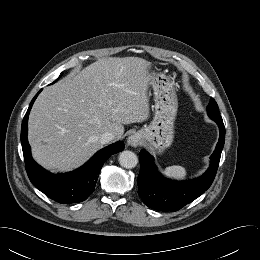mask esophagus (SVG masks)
<instances>
[{"mask_svg": "<svg viewBox=\"0 0 260 260\" xmlns=\"http://www.w3.org/2000/svg\"><path fill=\"white\" fill-rule=\"evenodd\" d=\"M141 143V135L139 133L131 134L127 139V144L131 147H137Z\"/></svg>", "mask_w": 260, "mask_h": 260, "instance_id": "obj_1", "label": "esophagus"}]
</instances>
